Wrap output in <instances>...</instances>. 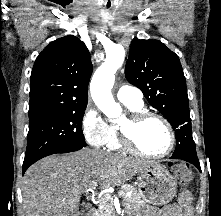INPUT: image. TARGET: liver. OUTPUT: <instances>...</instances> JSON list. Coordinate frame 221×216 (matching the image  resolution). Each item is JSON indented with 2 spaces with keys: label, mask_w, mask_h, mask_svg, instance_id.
<instances>
[{
  "label": "liver",
  "mask_w": 221,
  "mask_h": 216,
  "mask_svg": "<svg viewBox=\"0 0 221 216\" xmlns=\"http://www.w3.org/2000/svg\"><path fill=\"white\" fill-rule=\"evenodd\" d=\"M155 165L91 149L45 157L33 164L23 178L26 216H80L79 200L87 190L124 184Z\"/></svg>",
  "instance_id": "liver-1"
}]
</instances>
